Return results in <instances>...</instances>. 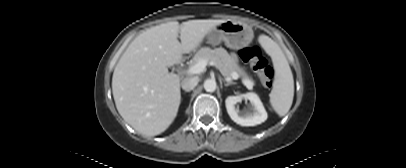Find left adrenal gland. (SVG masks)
Masks as SVG:
<instances>
[{"instance_id": "left-adrenal-gland-1", "label": "left adrenal gland", "mask_w": 406, "mask_h": 168, "mask_svg": "<svg viewBox=\"0 0 406 168\" xmlns=\"http://www.w3.org/2000/svg\"><path fill=\"white\" fill-rule=\"evenodd\" d=\"M234 84H236L235 82H232V81H225L224 80V85L227 87V86H230V85H234Z\"/></svg>"}]
</instances>
